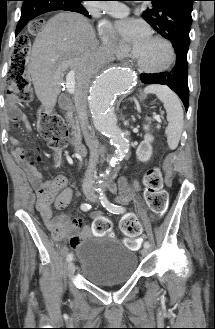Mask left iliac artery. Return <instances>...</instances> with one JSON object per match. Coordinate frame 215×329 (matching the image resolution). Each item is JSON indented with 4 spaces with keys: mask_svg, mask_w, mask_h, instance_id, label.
<instances>
[{
    "mask_svg": "<svg viewBox=\"0 0 215 329\" xmlns=\"http://www.w3.org/2000/svg\"><path fill=\"white\" fill-rule=\"evenodd\" d=\"M100 200H101L102 206L113 214H121L125 211V209L123 207L111 203L103 192L100 193ZM144 247H146V248L150 247V244L148 241H146L144 243Z\"/></svg>",
    "mask_w": 215,
    "mask_h": 329,
    "instance_id": "obj_1",
    "label": "left iliac artery"
}]
</instances>
